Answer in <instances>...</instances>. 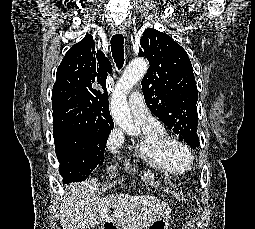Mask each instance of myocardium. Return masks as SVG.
<instances>
[{"label": "myocardium", "instance_id": "myocardium-1", "mask_svg": "<svg viewBox=\"0 0 255 229\" xmlns=\"http://www.w3.org/2000/svg\"><path fill=\"white\" fill-rule=\"evenodd\" d=\"M164 153L172 160L190 166L193 160L191 150L181 141L169 139L162 145Z\"/></svg>", "mask_w": 255, "mask_h": 229}]
</instances>
